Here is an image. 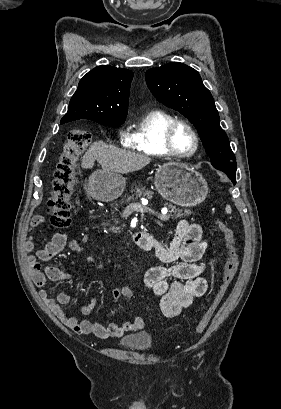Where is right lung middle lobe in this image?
Instances as JSON below:
<instances>
[{"instance_id": "obj_1", "label": "right lung middle lobe", "mask_w": 281, "mask_h": 409, "mask_svg": "<svg viewBox=\"0 0 281 409\" xmlns=\"http://www.w3.org/2000/svg\"><path fill=\"white\" fill-rule=\"evenodd\" d=\"M125 120H117V121H98V123L104 125V126H119L121 125Z\"/></svg>"}]
</instances>
